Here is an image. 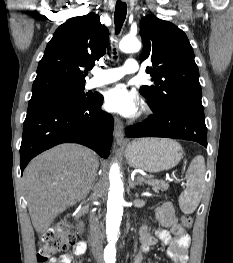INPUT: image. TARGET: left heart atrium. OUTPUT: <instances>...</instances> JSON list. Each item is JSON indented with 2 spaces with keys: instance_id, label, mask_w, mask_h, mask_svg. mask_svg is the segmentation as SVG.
<instances>
[{
  "instance_id": "left-heart-atrium-1",
  "label": "left heart atrium",
  "mask_w": 233,
  "mask_h": 263,
  "mask_svg": "<svg viewBox=\"0 0 233 263\" xmlns=\"http://www.w3.org/2000/svg\"><path fill=\"white\" fill-rule=\"evenodd\" d=\"M139 105L138 96L124 84H118L105 93L104 107L109 112L130 117L137 113Z\"/></svg>"
}]
</instances>
